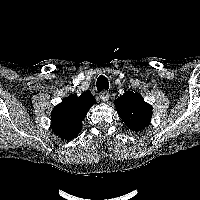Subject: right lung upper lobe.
<instances>
[{"instance_id": "1", "label": "right lung upper lobe", "mask_w": 200, "mask_h": 200, "mask_svg": "<svg viewBox=\"0 0 200 200\" xmlns=\"http://www.w3.org/2000/svg\"><path fill=\"white\" fill-rule=\"evenodd\" d=\"M94 102L95 99L90 92L64 98L51 113L53 132L65 140L76 137L81 130L82 121Z\"/></svg>"}]
</instances>
